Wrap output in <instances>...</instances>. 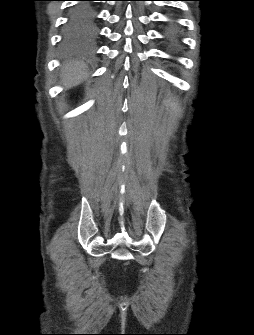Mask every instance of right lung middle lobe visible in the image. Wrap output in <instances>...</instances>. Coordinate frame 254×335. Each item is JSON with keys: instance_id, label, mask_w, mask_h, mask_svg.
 <instances>
[{"instance_id": "dd1d6c3e", "label": "right lung middle lobe", "mask_w": 254, "mask_h": 335, "mask_svg": "<svg viewBox=\"0 0 254 335\" xmlns=\"http://www.w3.org/2000/svg\"><path fill=\"white\" fill-rule=\"evenodd\" d=\"M84 3H87L86 6H89V7L93 8L91 3H89V2H84ZM74 8L72 9L71 12H75L76 10H78V9H74ZM95 31H96L95 24L93 26L87 28V27H85V25H83V22H80V23L74 24V25H69L67 23V26H66V29H65V37L67 39H73V38H77V37H81V36H89V35L94 34Z\"/></svg>"}]
</instances>
